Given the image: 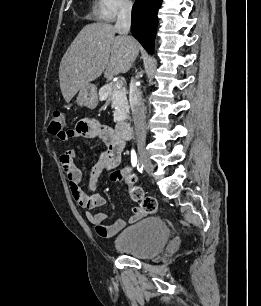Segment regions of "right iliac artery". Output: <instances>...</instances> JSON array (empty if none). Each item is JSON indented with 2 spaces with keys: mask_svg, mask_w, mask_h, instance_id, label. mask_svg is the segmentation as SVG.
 <instances>
[{
  "mask_svg": "<svg viewBox=\"0 0 261 306\" xmlns=\"http://www.w3.org/2000/svg\"><path fill=\"white\" fill-rule=\"evenodd\" d=\"M131 163H132L133 166L137 165L138 171L142 172L144 165L141 162L140 163L138 162V164H137V155H136L135 150L131 151Z\"/></svg>",
  "mask_w": 261,
  "mask_h": 306,
  "instance_id": "1",
  "label": "right iliac artery"
}]
</instances>
